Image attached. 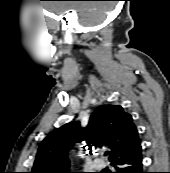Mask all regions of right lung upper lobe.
<instances>
[{"label":"right lung upper lobe","instance_id":"1","mask_svg":"<svg viewBox=\"0 0 170 173\" xmlns=\"http://www.w3.org/2000/svg\"><path fill=\"white\" fill-rule=\"evenodd\" d=\"M82 142L89 150L92 146L109 147L110 161L140 144L131 115L120 105H102L93 112L87 127L75 121L49 134L38 149L31 173H72L69 155Z\"/></svg>","mask_w":170,"mask_h":173}]
</instances>
